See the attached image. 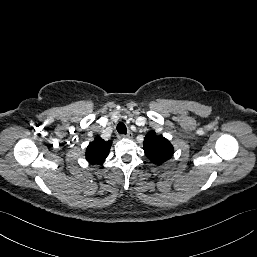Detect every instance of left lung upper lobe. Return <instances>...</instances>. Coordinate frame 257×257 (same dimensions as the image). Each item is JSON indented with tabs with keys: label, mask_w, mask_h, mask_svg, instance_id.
Here are the masks:
<instances>
[{
	"label": "left lung upper lobe",
	"mask_w": 257,
	"mask_h": 257,
	"mask_svg": "<svg viewBox=\"0 0 257 257\" xmlns=\"http://www.w3.org/2000/svg\"><path fill=\"white\" fill-rule=\"evenodd\" d=\"M144 152L150 161L160 165L172 157L173 146L162 135H156L151 131L145 137Z\"/></svg>",
	"instance_id": "left-lung-upper-lobe-1"
}]
</instances>
